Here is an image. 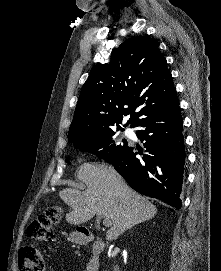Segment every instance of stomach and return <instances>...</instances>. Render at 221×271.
Returning <instances> with one entry per match:
<instances>
[{
    "label": "stomach",
    "instance_id": "stomach-1",
    "mask_svg": "<svg viewBox=\"0 0 221 271\" xmlns=\"http://www.w3.org/2000/svg\"><path fill=\"white\" fill-rule=\"evenodd\" d=\"M69 237H70V238H77V237H78V234H77V233H70V234H69Z\"/></svg>",
    "mask_w": 221,
    "mask_h": 271
}]
</instances>
